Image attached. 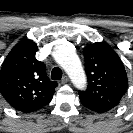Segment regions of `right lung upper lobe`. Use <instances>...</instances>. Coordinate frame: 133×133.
<instances>
[{"label": "right lung upper lobe", "mask_w": 133, "mask_h": 133, "mask_svg": "<svg viewBox=\"0 0 133 133\" xmlns=\"http://www.w3.org/2000/svg\"><path fill=\"white\" fill-rule=\"evenodd\" d=\"M32 40L18 43L7 55L0 71V92L16 110L29 113L47 105L58 85L50 81L46 66L35 58Z\"/></svg>", "instance_id": "cb5924a9"}]
</instances>
